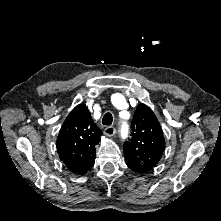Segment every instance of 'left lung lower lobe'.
Returning <instances> with one entry per match:
<instances>
[{
  "mask_svg": "<svg viewBox=\"0 0 221 221\" xmlns=\"http://www.w3.org/2000/svg\"><path fill=\"white\" fill-rule=\"evenodd\" d=\"M125 160H126L127 166H128L131 170H133V171H135V172H139V168H137V165H136L135 162H133V161H131L130 159H127V158H125Z\"/></svg>",
  "mask_w": 221,
  "mask_h": 221,
  "instance_id": "left-lung-lower-lobe-1",
  "label": "left lung lower lobe"
}]
</instances>
